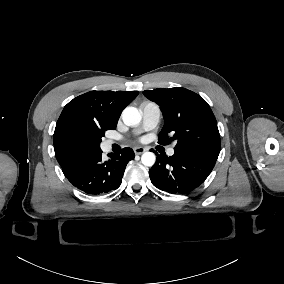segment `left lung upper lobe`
Listing matches in <instances>:
<instances>
[{
	"label": "left lung upper lobe",
	"mask_w": 284,
	"mask_h": 284,
	"mask_svg": "<svg viewBox=\"0 0 284 284\" xmlns=\"http://www.w3.org/2000/svg\"><path fill=\"white\" fill-rule=\"evenodd\" d=\"M156 102L165 123L159 133V143L175 140L176 151L195 152L217 160L220 152V134L216 118L207 102L198 94L185 88L143 91ZM173 137L169 138L168 134Z\"/></svg>",
	"instance_id": "1"
}]
</instances>
